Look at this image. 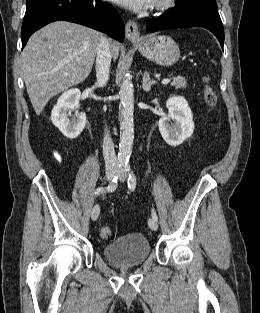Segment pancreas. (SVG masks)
Instances as JSON below:
<instances>
[{
    "label": "pancreas",
    "mask_w": 260,
    "mask_h": 313,
    "mask_svg": "<svg viewBox=\"0 0 260 313\" xmlns=\"http://www.w3.org/2000/svg\"><path fill=\"white\" fill-rule=\"evenodd\" d=\"M171 86L175 89H184L186 88V79L184 77H174Z\"/></svg>",
    "instance_id": "cf45deb5"
}]
</instances>
